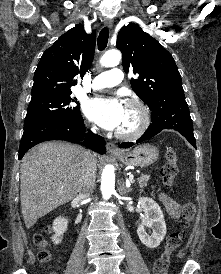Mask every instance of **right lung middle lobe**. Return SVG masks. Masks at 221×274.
<instances>
[{"label": "right lung middle lobe", "instance_id": "dd1d6c3e", "mask_svg": "<svg viewBox=\"0 0 221 274\" xmlns=\"http://www.w3.org/2000/svg\"><path fill=\"white\" fill-rule=\"evenodd\" d=\"M50 118H63L75 122L83 120L77 99L72 98L71 93H66L31 99L24 125Z\"/></svg>", "mask_w": 221, "mask_h": 274}]
</instances>
